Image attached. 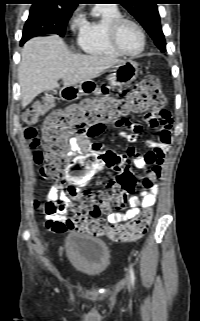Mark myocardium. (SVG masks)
I'll list each match as a JSON object with an SVG mask.
<instances>
[{
	"mask_svg": "<svg viewBox=\"0 0 200 321\" xmlns=\"http://www.w3.org/2000/svg\"><path fill=\"white\" fill-rule=\"evenodd\" d=\"M125 23L132 24L139 31V33L141 35L142 46H141L140 50L137 52H134V53L127 52L119 44V41H118L119 30L122 27V25ZM108 37H109L110 44L114 48V50L123 56H127V57L139 56L140 54H142L144 52V50L146 48V43H147L146 34H145L142 26L137 21H135L131 18H128V17L122 16V17L115 19L109 27Z\"/></svg>",
	"mask_w": 200,
	"mask_h": 321,
	"instance_id": "f54148a6",
	"label": "myocardium"
}]
</instances>
